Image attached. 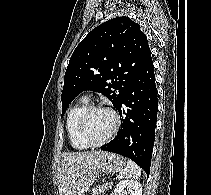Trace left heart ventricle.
<instances>
[{"mask_svg": "<svg viewBox=\"0 0 211 195\" xmlns=\"http://www.w3.org/2000/svg\"><path fill=\"white\" fill-rule=\"evenodd\" d=\"M114 126L111 113L98 110L89 115L85 122L84 134L88 141L99 142L106 138Z\"/></svg>", "mask_w": 211, "mask_h": 195, "instance_id": "1", "label": "left heart ventricle"}]
</instances>
